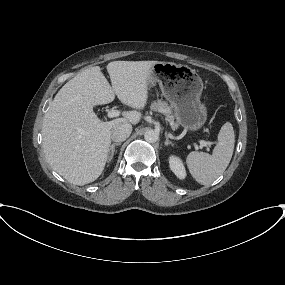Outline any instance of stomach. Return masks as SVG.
<instances>
[{"mask_svg":"<svg viewBox=\"0 0 285 285\" xmlns=\"http://www.w3.org/2000/svg\"><path fill=\"white\" fill-rule=\"evenodd\" d=\"M158 83L162 95L174 108V117L184 130L194 132L207 121V108L200 101L203 82L187 66L172 62H157L150 73L148 86Z\"/></svg>","mask_w":285,"mask_h":285,"instance_id":"obj_1","label":"stomach"}]
</instances>
